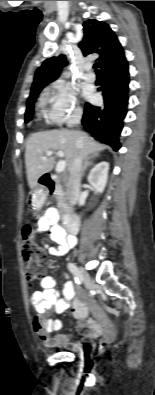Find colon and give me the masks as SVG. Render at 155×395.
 Segmentation results:
<instances>
[{
	"mask_svg": "<svg viewBox=\"0 0 155 395\" xmlns=\"http://www.w3.org/2000/svg\"><path fill=\"white\" fill-rule=\"evenodd\" d=\"M22 255L25 262L26 281L30 286H33L43 277L45 253L30 225L23 229Z\"/></svg>",
	"mask_w": 155,
	"mask_h": 395,
	"instance_id": "1",
	"label": "colon"
}]
</instances>
